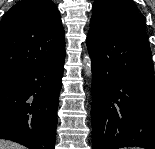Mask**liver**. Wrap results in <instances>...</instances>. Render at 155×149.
I'll list each match as a JSON object with an SVG mask.
<instances>
[{
	"label": "liver",
	"instance_id": "obj_1",
	"mask_svg": "<svg viewBox=\"0 0 155 149\" xmlns=\"http://www.w3.org/2000/svg\"><path fill=\"white\" fill-rule=\"evenodd\" d=\"M0 149H25L22 145L0 139Z\"/></svg>",
	"mask_w": 155,
	"mask_h": 149
}]
</instances>
